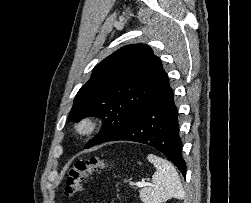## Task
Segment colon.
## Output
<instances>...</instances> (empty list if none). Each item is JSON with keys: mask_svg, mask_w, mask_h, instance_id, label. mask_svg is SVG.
Wrapping results in <instances>:
<instances>
[{"mask_svg": "<svg viewBox=\"0 0 251 203\" xmlns=\"http://www.w3.org/2000/svg\"><path fill=\"white\" fill-rule=\"evenodd\" d=\"M109 166L110 164L100 157L75 161L66 176L64 195L70 197L77 194L81 190L82 182L89 174L106 169Z\"/></svg>", "mask_w": 251, "mask_h": 203, "instance_id": "colon-1", "label": "colon"}]
</instances>
